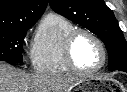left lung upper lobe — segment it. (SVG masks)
<instances>
[{"mask_svg":"<svg viewBox=\"0 0 127 92\" xmlns=\"http://www.w3.org/2000/svg\"><path fill=\"white\" fill-rule=\"evenodd\" d=\"M51 8L96 34L108 51L110 71L127 69V43L103 0H49Z\"/></svg>","mask_w":127,"mask_h":92,"instance_id":"5c2ea615","label":"left lung upper lobe"}]
</instances>
